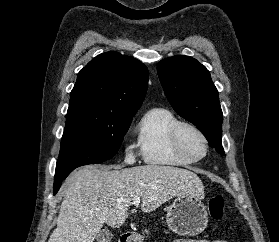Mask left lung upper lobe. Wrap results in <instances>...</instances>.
<instances>
[{"label":"left lung upper lobe","instance_id":"5c2ea615","mask_svg":"<svg viewBox=\"0 0 279 242\" xmlns=\"http://www.w3.org/2000/svg\"><path fill=\"white\" fill-rule=\"evenodd\" d=\"M157 72L174 110L201 130L211 147L225 155L223 114L218 91L206 67L192 57L178 55L161 60Z\"/></svg>","mask_w":279,"mask_h":242}]
</instances>
